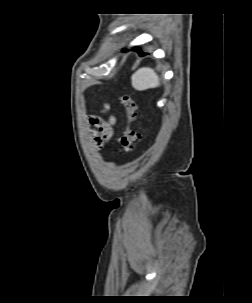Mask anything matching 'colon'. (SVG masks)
<instances>
[{"label":"colon","mask_w":252,"mask_h":303,"mask_svg":"<svg viewBox=\"0 0 252 303\" xmlns=\"http://www.w3.org/2000/svg\"><path fill=\"white\" fill-rule=\"evenodd\" d=\"M121 103L125 108L127 120V125L124 127L122 134V150L125 154H130L139 139V134L132 128V123L138 114V105L128 93L121 95Z\"/></svg>","instance_id":"5ec220e1"}]
</instances>
